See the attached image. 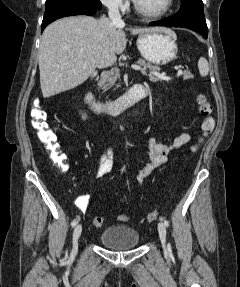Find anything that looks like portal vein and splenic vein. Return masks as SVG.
<instances>
[{
    "instance_id": "obj_1",
    "label": "portal vein and splenic vein",
    "mask_w": 240,
    "mask_h": 287,
    "mask_svg": "<svg viewBox=\"0 0 240 287\" xmlns=\"http://www.w3.org/2000/svg\"><path fill=\"white\" fill-rule=\"evenodd\" d=\"M131 68L134 70H138V71L143 70L139 65H132ZM182 73H183L182 69H179L177 72V76L182 75ZM155 75L158 76L159 78L163 79V80H169L170 79V77L166 76L165 73H162V74L155 73Z\"/></svg>"
}]
</instances>
